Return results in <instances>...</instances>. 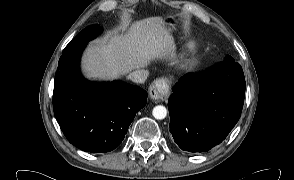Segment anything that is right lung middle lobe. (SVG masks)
<instances>
[{
    "label": "right lung middle lobe",
    "instance_id": "dd1d6c3e",
    "mask_svg": "<svg viewBox=\"0 0 294 180\" xmlns=\"http://www.w3.org/2000/svg\"><path fill=\"white\" fill-rule=\"evenodd\" d=\"M102 31L99 25H91L82 30L66 47L63 51H67L77 46L86 45L87 42L94 39Z\"/></svg>",
    "mask_w": 294,
    "mask_h": 180
}]
</instances>
